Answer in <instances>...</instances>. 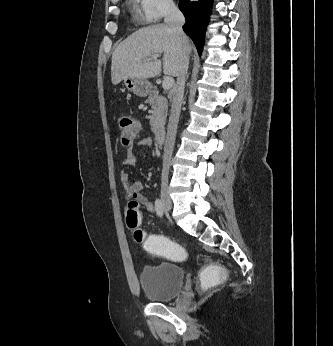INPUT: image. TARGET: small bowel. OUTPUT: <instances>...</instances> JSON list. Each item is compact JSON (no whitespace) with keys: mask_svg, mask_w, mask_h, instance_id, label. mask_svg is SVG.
Returning <instances> with one entry per match:
<instances>
[{"mask_svg":"<svg viewBox=\"0 0 333 346\" xmlns=\"http://www.w3.org/2000/svg\"><path fill=\"white\" fill-rule=\"evenodd\" d=\"M151 138H141L137 140L136 146L147 147L152 145ZM138 162V157L135 155L133 147H130L127 151V155L123 161L124 165H135ZM121 181L124 186L126 196L137 200L147 211L154 212L155 205L141 193L143 185L139 180H132L128 172L123 171L121 173Z\"/></svg>","mask_w":333,"mask_h":346,"instance_id":"c3829d8e","label":"small bowel"}]
</instances>
